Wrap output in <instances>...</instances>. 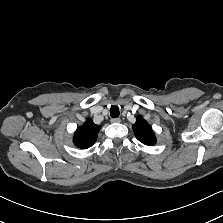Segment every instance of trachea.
<instances>
[{"mask_svg": "<svg viewBox=\"0 0 223 223\" xmlns=\"http://www.w3.org/2000/svg\"><path fill=\"white\" fill-rule=\"evenodd\" d=\"M120 114V111L117 106H112L110 108V115L112 118H117Z\"/></svg>", "mask_w": 223, "mask_h": 223, "instance_id": "trachea-1", "label": "trachea"}]
</instances>
